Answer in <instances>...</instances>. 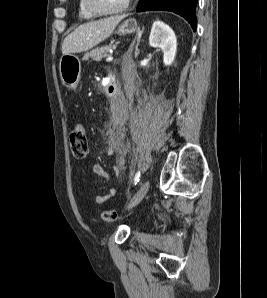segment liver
<instances>
[{
	"label": "liver",
	"mask_w": 267,
	"mask_h": 298,
	"mask_svg": "<svg viewBox=\"0 0 267 298\" xmlns=\"http://www.w3.org/2000/svg\"><path fill=\"white\" fill-rule=\"evenodd\" d=\"M125 15L90 21L77 27L63 41L62 54L87 51L108 38Z\"/></svg>",
	"instance_id": "6515ba94"
}]
</instances>
